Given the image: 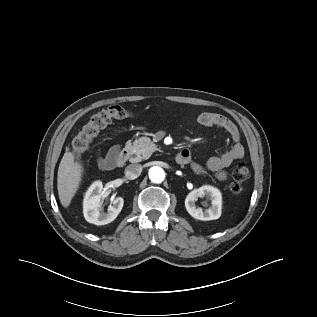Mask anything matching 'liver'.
<instances>
[{
  "label": "liver",
  "mask_w": 317,
  "mask_h": 317,
  "mask_svg": "<svg viewBox=\"0 0 317 317\" xmlns=\"http://www.w3.org/2000/svg\"><path fill=\"white\" fill-rule=\"evenodd\" d=\"M68 150L61 159L57 173L58 195L65 208L70 205L79 187L83 170L81 164L74 162V156Z\"/></svg>",
  "instance_id": "6515ba94"
}]
</instances>
